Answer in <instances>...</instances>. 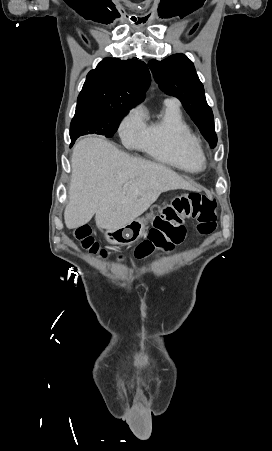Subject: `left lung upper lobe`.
Wrapping results in <instances>:
<instances>
[{"label":"left lung upper lobe","mask_w":272,"mask_h":451,"mask_svg":"<svg viewBox=\"0 0 272 451\" xmlns=\"http://www.w3.org/2000/svg\"><path fill=\"white\" fill-rule=\"evenodd\" d=\"M149 67L160 89L182 102L191 119L214 148L217 144V135L214 130L213 113L206 102L203 85L192 61L179 53L162 61L152 59L149 61Z\"/></svg>","instance_id":"1"}]
</instances>
